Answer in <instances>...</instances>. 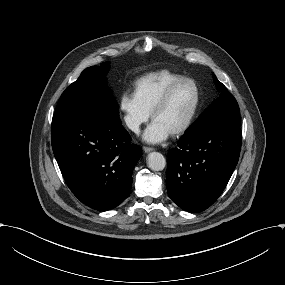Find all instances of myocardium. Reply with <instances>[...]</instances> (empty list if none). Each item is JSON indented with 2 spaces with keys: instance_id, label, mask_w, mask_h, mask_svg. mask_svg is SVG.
<instances>
[{
  "instance_id": "f54148a6",
  "label": "myocardium",
  "mask_w": 285,
  "mask_h": 285,
  "mask_svg": "<svg viewBox=\"0 0 285 285\" xmlns=\"http://www.w3.org/2000/svg\"><path fill=\"white\" fill-rule=\"evenodd\" d=\"M185 82H190L194 85L195 90H196V100H195V104H194L193 109H192L190 115L188 116V118L185 120V122L183 124H181L179 127L175 128L171 132L172 134H180V133L185 132L191 126L194 119L196 118L198 111L200 109V106H201V101H202V92H201V88H200L198 82L191 77H183L180 80L174 82L164 91V93L161 95L160 99L155 104V106L153 107L152 112H151L152 117H154L155 114L168 103V101H169L172 93L175 91V89L178 86H180L182 83H185Z\"/></svg>"
}]
</instances>
